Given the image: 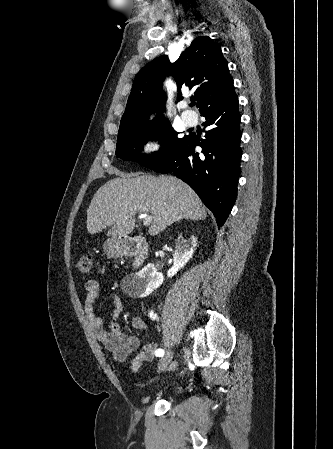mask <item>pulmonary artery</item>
Listing matches in <instances>:
<instances>
[{
  "mask_svg": "<svg viewBox=\"0 0 333 449\" xmlns=\"http://www.w3.org/2000/svg\"><path fill=\"white\" fill-rule=\"evenodd\" d=\"M181 118H182V121L184 122V124L186 126L191 127V126H194V125L197 124L196 116L193 113L189 112V111H184L181 114Z\"/></svg>",
  "mask_w": 333,
  "mask_h": 449,
  "instance_id": "e3ab8cb5",
  "label": "pulmonary artery"
}]
</instances>
